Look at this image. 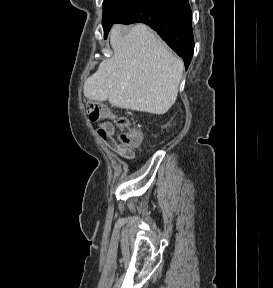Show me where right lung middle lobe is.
Instances as JSON below:
<instances>
[{
    "label": "right lung middle lobe",
    "instance_id": "right-lung-middle-lobe-1",
    "mask_svg": "<svg viewBox=\"0 0 273 288\" xmlns=\"http://www.w3.org/2000/svg\"><path fill=\"white\" fill-rule=\"evenodd\" d=\"M137 0H104L103 2V29L106 38L111 26L130 8Z\"/></svg>",
    "mask_w": 273,
    "mask_h": 288
}]
</instances>
